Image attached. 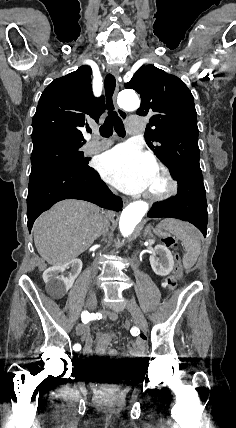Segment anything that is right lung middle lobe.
<instances>
[{
	"label": "right lung middle lobe",
	"mask_w": 236,
	"mask_h": 428,
	"mask_svg": "<svg viewBox=\"0 0 236 428\" xmlns=\"http://www.w3.org/2000/svg\"><path fill=\"white\" fill-rule=\"evenodd\" d=\"M85 141H49L34 146L31 154V174L35 175L57 168L84 169L89 160L81 147Z\"/></svg>",
	"instance_id": "obj_1"
}]
</instances>
